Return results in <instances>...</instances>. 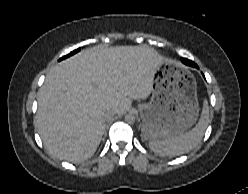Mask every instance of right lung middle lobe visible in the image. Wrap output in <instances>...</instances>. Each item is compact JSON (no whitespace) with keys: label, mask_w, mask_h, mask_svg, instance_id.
<instances>
[{"label":"right lung middle lobe","mask_w":248,"mask_h":194,"mask_svg":"<svg viewBox=\"0 0 248 194\" xmlns=\"http://www.w3.org/2000/svg\"><path fill=\"white\" fill-rule=\"evenodd\" d=\"M79 51V49H77V50H75V51H73V52H71L70 54H68L67 56H64L63 58H61L60 60H63V59H65V58H68L69 56H71V55H73V54H75L76 52H78Z\"/></svg>","instance_id":"dd1d6c3e"}]
</instances>
